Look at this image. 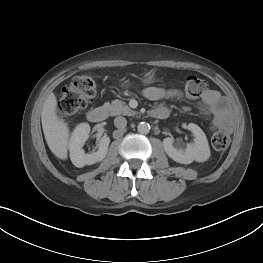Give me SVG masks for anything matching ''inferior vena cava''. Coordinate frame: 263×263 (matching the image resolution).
<instances>
[{
  "mask_svg": "<svg viewBox=\"0 0 263 263\" xmlns=\"http://www.w3.org/2000/svg\"><path fill=\"white\" fill-rule=\"evenodd\" d=\"M114 125L118 128V129H124L127 125V120L125 117L122 116H117L114 119Z\"/></svg>",
  "mask_w": 263,
  "mask_h": 263,
  "instance_id": "inferior-vena-cava-1",
  "label": "inferior vena cava"
}]
</instances>
